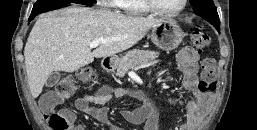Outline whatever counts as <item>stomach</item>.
I'll return each mask as SVG.
<instances>
[{"label": "stomach", "instance_id": "1", "mask_svg": "<svg viewBox=\"0 0 257 130\" xmlns=\"http://www.w3.org/2000/svg\"><path fill=\"white\" fill-rule=\"evenodd\" d=\"M183 37L182 29L173 19H164L152 27V42L165 51L176 49L182 42ZM119 60L115 55L104 57L102 66L107 70H114L118 66Z\"/></svg>", "mask_w": 257, "mask_h": 130}]
</instances>
